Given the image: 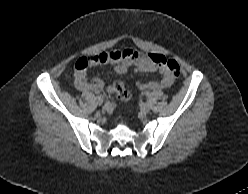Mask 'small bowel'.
<instances>
[{
	"mask_svg": "<svg viewBox=\"0 0 248 194\" xmlns=\"http://www.w3.org/2000/svg\"><path fill=\"white\" fill-rule=\"evenodd\" d=\"M151 56L152 54L127 48L110 53H100L91 56L90 59L94 62V65L109 66L119 75L126 74L130 68H134L138 72L159 73V81L137 82L136 86L140 90H164L169 88L173 82L172 76L169 75L165 67L156 65ZM74 84L77 89L85 92L99 93L104 89L103 82L98 78H88L86 70L79 71L76 74Z\"/></svg>",
	"mask_w": 248,
	"mask_h": 194,
	"instance_id": "c3829d8e",
	"label": "small bowel"
}]
</instances>
